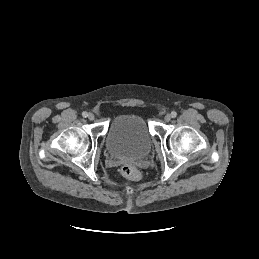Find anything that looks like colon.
<instances>
[{
    "instance_id": "5ec220e1",
    "label": "colon",
    "mask_w": 259,
    "mask_h": 259,
    "mask_svg": "<svg viewBox=\"0 0 259 259\" xmlns=\"http://www.w3.org/2000/svg\"><path fill=\"white\" fill-rule=\"evenodd\" d=\"M121 173L123 176L131 180H137L140 178V172L138 171V169L131 165L122 166Z\"/></svg>"
}]
</instances>
